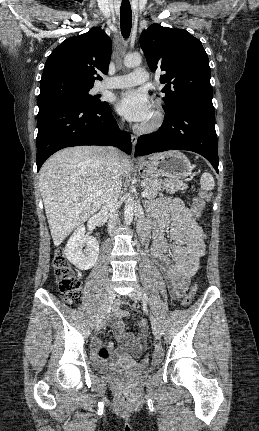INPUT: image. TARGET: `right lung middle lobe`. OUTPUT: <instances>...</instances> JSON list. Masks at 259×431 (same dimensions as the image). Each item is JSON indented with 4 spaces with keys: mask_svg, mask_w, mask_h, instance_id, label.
<instances>
[{
    "mask_svg": "<svg viewBox=\"0 0 259 431\" xmlns=\"http://www.w3.org/2000/svg\"><path fill=\"white\" fill-rule=\"evenodd\" d=\"M91 88L77 86L67 81H52L43 86L38 96V106L42 107L58 101H73L88 106L108 104L101 102L97 96L89 94Z\"/></svg>",
    "mask_w": 259,
    "mask_h": 431,
    "instance_id": "dd1d6c3e",
    "label": "right lung middle lobe"
}]
</instances>
